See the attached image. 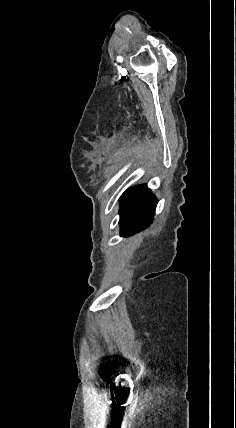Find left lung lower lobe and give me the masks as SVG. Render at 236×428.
<instances>
[{
	"instance_id": "obj_1",
	"label": "left lung lower lobe",
	"mask_w": 236,
	"mask_h": 428,
	"mask_svg": "<svg viewBox=\"0 0 236 428\" xmlns=\"http://www.w3.org/2000/svg\"><path fill=\"white\" fill-rule=\"evenodd\" d=\"M121 200L120 234L130 236L146 229L153 220L157 200L146 185L126 190Z\"/></svg>"
}]
</instances>
